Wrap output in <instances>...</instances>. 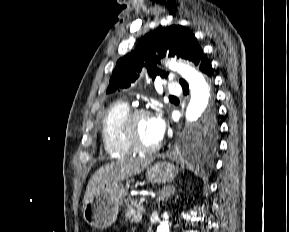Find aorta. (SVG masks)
Listing matches in <instances>:
<instances>
[{"mask_svg":"<svg viewBox=\"0 0 289 232\" xmlns=\"http://www.w3.org/2000/svg\"><path fill=\"white\" fill-rule=\"evenodd\" d=\"M170 69L177 71L189 84L191 98L186 109L185 117L190 123L206 119L213 114L210 107L211 88L204 76L193 67L171 60L167 64ZM170 223L167 215L159 222L157 232H169Z\"/></svg>","mask_w":289,"mask_h":232,"instance_id":"762f6f07","label":"aorta"}]
</instances>
